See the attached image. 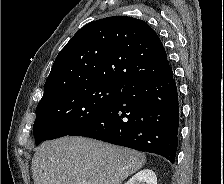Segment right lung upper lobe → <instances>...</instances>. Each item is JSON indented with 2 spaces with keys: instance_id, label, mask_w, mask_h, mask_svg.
Here are the masks:
<instances>
[{
  "instance_id": "1",
  "label": "right lung upper lobe",
  "mask_w": 224,
  "mask_h": 184,
  "mask_svg": "<svg viewBox=\"0 0 224 184\" xmlns=\"http://www.w3.org/2000/svg\"><path fill=\"white\" fill-rule=\"evenodd\" d=\"M171 71L162 42L147 23L107 17L83 26L60 51L41 101L80 83L127 85Z\"/></svg>"
}]
</instances>
